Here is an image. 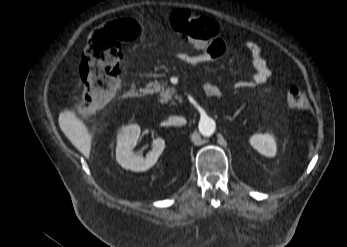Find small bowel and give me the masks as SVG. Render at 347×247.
I'll return each instance as SVG.
<instances>
[{"instance_id":"small-bowel-1","label":"small bowel","mask_w":347,"mask_h":247,"mask_svg":"<svg viewBox=\"0 0 347 247\" xmlns=\"http://www.w3.org/2000/svg\"><path fill=\"white\" fill-rule=\"evenodd\" d=\"M245 47L250 54L255 73L249 80L238 81L235 84L236 88H252L265 83L271 76V70L266 59L262 55L261 47L254 41H247ZM195 53L180 52L177 54L179 61L189 64L198 65L221 58L227 51V42L223 37H217L206 42L203 46L195 47ZM213 87L220 93V89L210 83L205 85V88Z\"/></svg>"}]
</instances>
